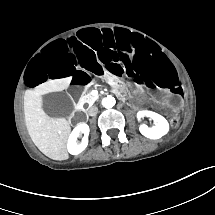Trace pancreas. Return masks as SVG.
Returning <instances> with one entry per match:
<instances>
[{
  "instance_id": "cf45deb5",
  "label": "pancreas",
  "mask_w": 215,
  "mask_h": 215,
  "mask_svg": "<svg viewBox=\"0 0 215 215\" xmlns=\"http://www.w3.org/2000/svg\"><path fill=\"white\" fill-rule=\"evenodd\" d=\"M98 97L93 96L90 92L83 95L82 99L80 100L81 105L83 106L84 103L93 104Z\"/></svg>"
}]
</instances>
